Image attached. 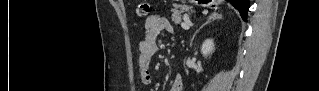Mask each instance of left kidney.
Instances as JSON below:
<instances>
[{"label":"left kidney","mask_w":319,"mask_h":91,"mask_svg":"<svg viewBox=\"0 0 319 91\" xmlns=\"http://www.w3.org/2000/svg\"><path fill=\"white\" fill-rule=\"evenodd\" d=\"M215 50L214 41L212 39H206L201 47V53L204 57L210 56Z\"/></svg>","instance_id":"obj_1"}]
</instances>
